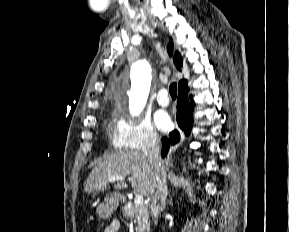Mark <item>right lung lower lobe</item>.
<instances>
[{
	"mask_svg": "<svg viewBox=\"0 0 289 232\" xmlns=\"http://www.w3.org/2000/svg\"><path fill=\"white\" fill-rule=\"evenodd\" d=\"M188 90L180 91L178 94V101H177V114L176 120L180 127V129L185 133V135H189L191 128L193 126V115L191 111L194 107V102L192 96H188ZM180 134L177 130L169 133L168 137L163 139L162 144V157H165L169 145H174L175 143L179 142Z\"/></svg>",
	"mask_w": 289,
	"mask_h": 232,
	"instance_id": "right-lung-lower-lobe-1",
	"label": "right lung lower lobe"
}]
</instances>
